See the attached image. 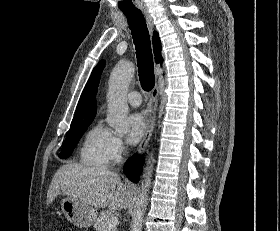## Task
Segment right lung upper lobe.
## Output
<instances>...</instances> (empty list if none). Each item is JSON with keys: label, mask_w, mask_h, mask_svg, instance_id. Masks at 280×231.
Wrapping results in <instances>:
<instances>
[{"label": "right lung upper lobe", "mask_w": 280, "mask_h": 231, "mask_svg": "<svg viewBox=\"0 0 280 231\" xmlns=\"http://www.w3.org/2000/svg\"><path fill=\"white\" fill-rule=\"evenodd\" d=\"M153 48L156 62L162 63L161 42L157 32L153 33ZM103 67L104 62L101 61L91 73V76L81 94L71 127L91 122L94 119L96 114L95 95Z\"/></svg>", "instance_id": "1"}]
</instances>
